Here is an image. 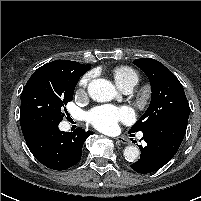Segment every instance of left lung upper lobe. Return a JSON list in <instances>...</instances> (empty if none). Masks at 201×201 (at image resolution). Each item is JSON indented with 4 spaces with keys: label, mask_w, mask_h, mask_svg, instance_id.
I'll return each instance as SVG.
<instances>
[{
    "label": "left lung upper lobe",
    "mask_w": 201,
    "mask_h": 201,
    "mask_svg": "<svg viewBox=\"0 0 201 201\" xmlns=\"http://www.w3.org/2000/svg\"><path fill=\"white\" fill-rule=\"evenodd\" d=\"M134 64L148 76L152 95L148 109L129 133L143 132L157 123L170 120L188 122L189 104L177 77L155 59H135Z\"/></svg>",
    "instance_id": "1"
}]
</instances>
